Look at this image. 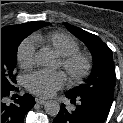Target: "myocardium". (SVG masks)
I'll list each match as a JSON object with an SVG mask.
<instances>
[{"mask_svg": "<svg viewBox=\"0 0 123 123\" xmlns=\"http://www.w3.org/2000/svg\"><path fill=\"white\" fill-rule=\"evenodd\" d=\"M60 64L73 81H82L92 71L93 62L91 57L81 51H74L61 56Z\"/></svg>", "mask_w": 123, "mask_h": 123, "instance_id": "f54148a6", "label": "myocardium"}]
</instances>
